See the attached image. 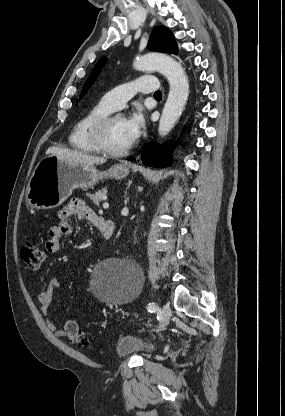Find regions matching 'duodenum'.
Instances as JSON below:
<instances>
[{"instance_id": "1", "label": "duodenum", "mask_w": 285, "mask_h": 416, "mask_svg": "<svg viewBox=\"0 0 285 416\" xmlns=\"http://www.w3.org/2000/svg\"><path fill=\"white\" fill-rule=\"evenodd\" d=\"M93 224L99 229L105 242H109L115 232V223L112 220L95 218Z\"/></svg>"}]
</instances>
